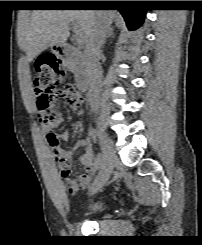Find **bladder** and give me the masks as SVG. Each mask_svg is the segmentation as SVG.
<instances>
[{
    "instance_id": "bladder-1",
    "label": "bladder",
    "mask_w": 202,
    "mask_h": 245,
    "mask_svg": "<svg viewBox=\"0 0 202 245\" xmlns=\"http://www.w3.org/2000/svg\"><path fill=\"white\" fill-rule=\"evenodd\" d=\"M109 207L110 205L106 201L96 202L88 209V214L92 216H101L108 211Z\"/></svg>"
}]
</instances>
